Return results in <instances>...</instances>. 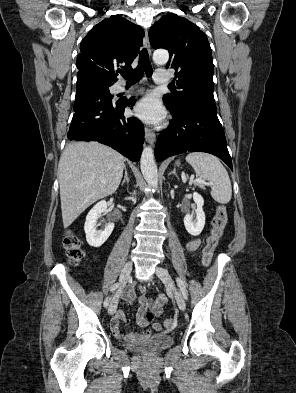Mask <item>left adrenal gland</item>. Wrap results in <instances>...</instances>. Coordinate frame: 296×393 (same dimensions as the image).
Instances as JSON below:
<instances>
[{
    "mask_svg": "<svg viewBox=\"0 0 296 393\" xmlns=\"http://www.w3.org/2000/svg\"><path fill=\"white\" fill-rule=\"evenodd\" d=\"M170 175H175L177 178H179L178 175H177V173H176V169H174L173 171H171V172L168 174V176H170Z\"/></svg>",
    "mask_w": 296,
    "mask_h": 393,
    "instance_id": "1",
    "label": "left adrenal gland"
}]
</instances>
